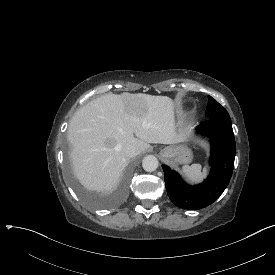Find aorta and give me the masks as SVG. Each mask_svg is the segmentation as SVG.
I'll use <instances>...</instances> for the list:
<instances>
[{
	"label": "aorta",
	"mask_w": 275,
	"mask_h": 275,
	"mask_svg": "<svg viewBox=\"0 0 275 275\" xmlns=\"http://www.w3.org/2000/svg\"><path fill=\"white\" fill-rule=\"evenodd\" d=\"M142 165L146 171L152 172L158 168L159 161L156 156L147 155L143 158Z\"/></svg>",
	"instance_id": "762f6f07"
}]
</instances>
